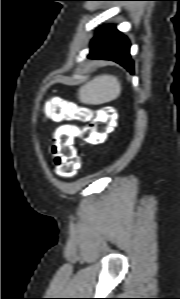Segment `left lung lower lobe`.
Listing matches in <instances>:
<instances>
[{
	"instance_id": "obj_1",
	"label": "left lung lower lobe",
	"mask_w": 180,
	"mask_h": 299,
	"mask_svg": "<svg viewBox=\"0 0 180 299\" xmlns=\"http://www.w3.org/2000/svg\"><path fill=\"white\" fill-rule=\"evenodd\" d=\"M130 42L114 25L100 27L91 41L90 58L112 60L134 73Z\"/></svg>"
}]
</instances>
